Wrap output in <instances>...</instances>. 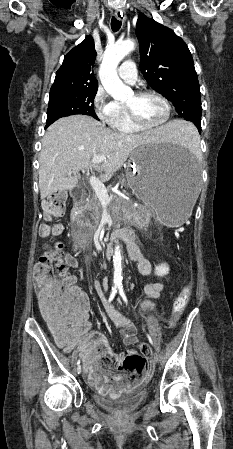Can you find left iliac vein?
I'll return each instance as SVG.
<instances>
[{
    "label": "left iliac vein",
    "mask_w": 233,
    "mask_h": 449,
    "mask_svg": "<svg viewBox=\"0 0 233 449\" xmlns=\"http://www.w3.org/2000/svg\"><path fill=\"white\" fill-rule=\"evenodd\" d=\"M153 361H154L155 363L159 362V355H158L156 352H155L154 355H153Z\"/></svg>",
    "instance_id": "4c4485c4"
}]
</instances>
